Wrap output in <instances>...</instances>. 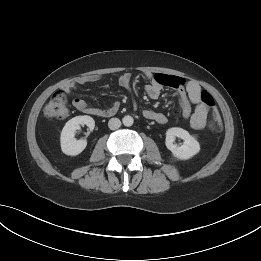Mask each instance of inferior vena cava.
<instances>
[{
  "label": "inferior vena cava",
  "mask_w": 261,
  "mask_h": 261,
  "mask_svg": "<svg viewBox=\"0 0 261 261\" xmlns=\"http://www.w3.org/2000/svg\"><path fill=\"white\" fill-rule=\"evenodd\" d=\"M121 126V121L118 118H111L108 122V127L111 130H116Z\"/></svg>",
  "instance_id": "obj_1"
}]
</instances>
